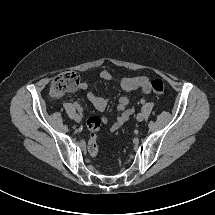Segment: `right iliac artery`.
<instances>
[{
	"label": "right iliac artery",
	"instance_id": "obj_1",
	"mask_svg": "<svg viewBox=\"0 0 215 215\" xmlns=\"http://www.w3.org/2000/svg\"><path fill=\"white\" fill-rule=\"evenodd\" d=\"M75 106L77 107L78 112L80 113V115H82L80 106L78 104H76Z\"/></svg>",
	"mask_w": 215,
	"mask_h": 215
}]
</instances>
